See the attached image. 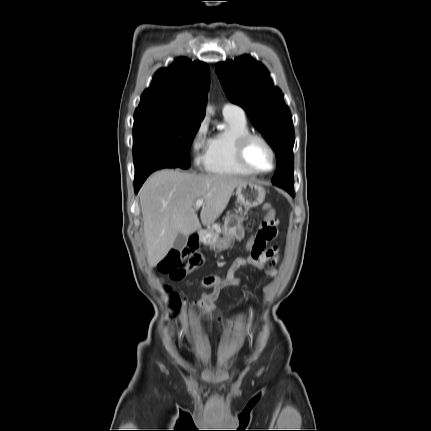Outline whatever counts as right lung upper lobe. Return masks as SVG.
Wrapping results in <instances>:
<instances>
[{
  "mask_svg": "<svg viewBox=\"0 0 431 431\" xmlns=\"http://www.w3.org/2000/svg\"><path fill=\"white\" fill-rule=\"evenodd\" d=\"M209 68L201 61L177 58L154 75L142 94L134 118L166 117L201 122L204 118Z\"/></svg>",
  "mask_w": 431,
  "mask_h": 431,
  "instance_id": "cb5924a9",
  "label": "right lung upper lobe"
}]
</instances>
